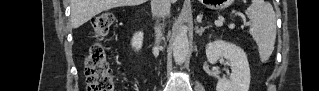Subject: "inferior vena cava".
I'll list each match as a JSON object with an SVG mask.
<instances>
[{
    "instance_id": "inferior-vena-cava-1",
    "label": "inferior vena cava",
    "mask_w": 319,
    "mask_h": 91,
    "mask_svg": "<svg viewBox=\"0 0 319 91\" xmlns=\"http://www.w3.org/2000/svg\"><path fill=\"white\" fill-rule=\"evenodd\" d=\"M170 0H152V14L153 17L156 19V26H155V37L156 43L160 42L162 37V29L164 27V23L161 24L160 20H165L166 17L170 14Z\"/></svg>"
}]
</instances>
